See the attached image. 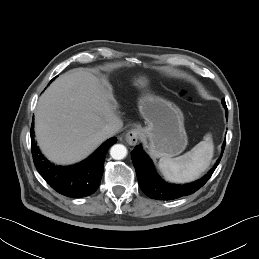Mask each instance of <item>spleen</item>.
Listing matches in <instances>:
<instances>
[{
  "instance_id": "spleen-1",
  "label": "spleen",
  "mask_w": 259,
  "mask_h": 259,
  "mask_svg": "<svg viewBox=\"0 0 259 259\" xmlns=\"http://www.w3.org/2000/svg\"><path fill=\"white\" fill-rule=\"evenodd\" d=\"M214 145L210 133L204 136L189 152L176 158L162 157L159 169L164 177L176 183H185L197 179L204 172L213 157Z\"/></svg>"
}]
</instances>
